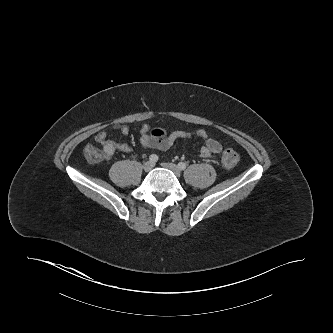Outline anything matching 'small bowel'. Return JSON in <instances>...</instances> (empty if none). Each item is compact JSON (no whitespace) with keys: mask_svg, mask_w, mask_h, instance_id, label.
<instances>
[{"mask_svg":"<svg viewBox=\"0 0 333 333\" xmlns=\"http://www.w3.org/2000/svg\"><path fill=\"white\" fill-rule=\"evenodd\" d=\"M116 129L122 135H128L130 133V129L126 125H118ZM178 138L192 139L199 138L204 141V145L200 149L199 157L201 159H210L216 157L222 150V146L219 141L210 137L207 132L203 129L195 130V131H174L170 133L168 136L156 139L151 137L148 134V127L142 126L141 128V144L146 149H157L160 151L169 150L174 142ZM95 142L102 144L104 146L106 156L112 157L116 151H121L124 153H128L131 151V147L127 144H118L108 139L107 131H100L95 135Z\"/></svg>","mask_w":333,"mask_h":333,"instance_id":"small-bowel-1","label":"small bowel"}]
</instances>
